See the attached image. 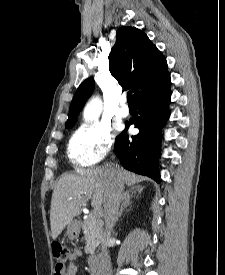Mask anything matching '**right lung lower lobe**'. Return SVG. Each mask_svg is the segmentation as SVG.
Segmentation results:
<instances>
[{
  "instance_id": "right-lung-lower-lobe-1",
  "label": "right lung lower lobe",
  "mask_w": 225,
  "mask_h": 275,
  "mask_svg": "<svg viewBox=\"0 0 225 275\" xmlns=\"http://www.w3.org/2000/svg\"><path fill=\"white\" fill-rule=\"evenodd\" d=\"M170 76L155 88L134 99L137 114L126 123V129L116 137L115 154L124 168L146 175L159 182L157 169L160 128L169 117ZM134 124L139 134L128 139L126 131Z\"/></svg>"
}]
</instances>
